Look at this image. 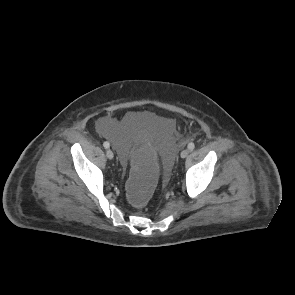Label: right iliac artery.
I'll list each match as a JSON object with an SVG mask.
<instances>
[{
  "instance_id": "82829eb1",
  "label": "right iliac artery",
  "mask_w": 295,
  "mask_h": 295,
  "mask_svg": "<svg viewBox=\"0 0 295 295\" xmlns=\"http://www.w3.org/2000/svg\"><path fill=\"white\" fill-rule=\"evenodd\" d=\"M103 146L107 149V148H109L110 144H109V142L106 141L103 143Z\"/></svg>"
}]
</instances>
